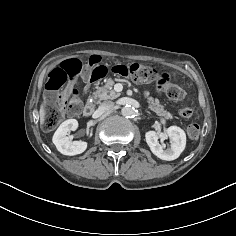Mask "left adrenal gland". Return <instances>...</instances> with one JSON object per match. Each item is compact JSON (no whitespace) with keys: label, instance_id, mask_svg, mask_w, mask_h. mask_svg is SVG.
<instances>
[{"label":"left adrenal gland","instance_id":"1","mask_svg":"<svg viewBox=\"0 0 236 236\" xmlns=\"http://www.w3.org/2000/svg\"><path fill=\"white\" fill-rule=\"evenodd\" d=\"M146 113H148V114H151L149 111H145Z\"/></svg>","mask_w":236,"mask_h":236}]
</instances>
